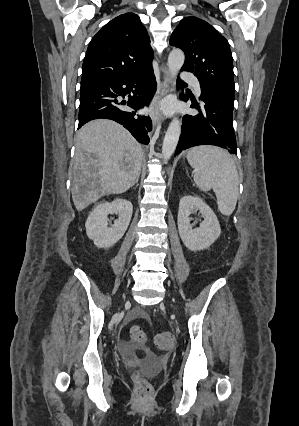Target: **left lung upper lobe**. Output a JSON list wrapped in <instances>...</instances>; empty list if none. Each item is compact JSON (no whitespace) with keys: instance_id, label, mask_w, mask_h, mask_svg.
Masks as SVG:
<instances>
[{"instance_id":"obj_1","label":"left lung upper lobe","mask_w":299,"mask_h":426,"mask_svg":"<svg viewBox=\"0 0 299 426\" xmlns=\"http://www.w3.org/2000/svg\"><path fill=\"white\" fill-rule=\"evenodd\" d=\"M169 43L185 52L183 70L193 72L202 87L234 103L232 54L227 40L214 27L202 19L186 17Z\"/></svg>"}]
</instances>
